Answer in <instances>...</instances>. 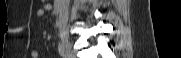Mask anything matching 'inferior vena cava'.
<instances>
[{"label":"inferior vena cava","mask_w":181,"mask_h":58,"mask_svg":"<svg viewBox=\"0 0 181 58\" xmlns=\"http://www.w3.org/2000/svg\"><path fill=\"white\" fill-rule=\"evenodd\" d=\"M69 2H70L69 0H65V2H64V14H65V17H66V12H67Z\"/></svg>","instance_id":"1"}]
</instances>
